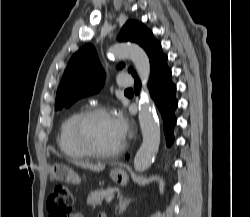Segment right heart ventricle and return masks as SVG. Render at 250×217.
Segmentation results:
<instances>
[{"mask_svg":"<svg viewBox=\"0 0 250 217\" xmlns=\"http://www.w3.org/2000/svg\"><path fill=\"white\" fill-rule=\"evenodd\" d=\"M81 111L76 110L70 113L61 123L57 136V143L60 151L72 159H84L88 155L77 145L73 126Z\"/></svg>","mask_w":250,"mask_h":217,"instance_id":"right-heart-ventricle-1","label":"right heart ventricle"}]
</instances>
